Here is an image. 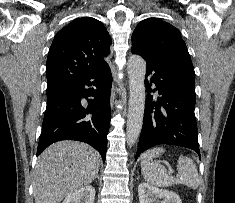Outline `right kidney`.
<instances>
[{"label":"right kidney","mask_w":235,"mask_h":203,"mask_svg":"<svg viewBox=\"0 0 235 203\" xmlns=\"http://www.w3.org/2000/svg\"><path fill=\"white\" fill-rule=\"evenodd\" d=\"M95 189L92 186H84L69 194L62 203H94Z\"/></svg>","instance_id":"ca27d5eb"}]
</instances>
